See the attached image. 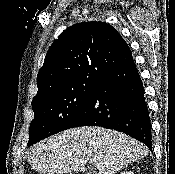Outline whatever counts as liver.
<instances>
[{
    "mask_svg": "<svg viewBox=\"0 0 175 174\" xmlns=\"http://www.w3.org/2000/svg\"><path fill=\"white\" fill-rule=\"evenodd\" d=\"M147 154L146 146L124 133L84 126L35 144L28 153V163L40 174L84 172L87 163L94 164L96 174H116Z\"/></svg>",
    "mask_w": 175,
    "mask_h": 174,
    "instance_id": "6515ba94",
    "label": "liver"
}]
</instances>
